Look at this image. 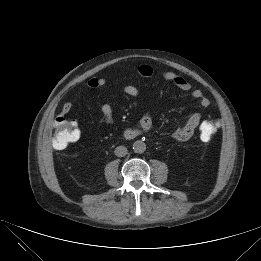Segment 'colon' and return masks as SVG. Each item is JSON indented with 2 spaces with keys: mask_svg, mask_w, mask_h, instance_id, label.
I'll list each match as a JSON object with an SVG mask.
<instances>
[{
  "mask_svg": "<svg viewBox=\"0 0 261 261\" xmlns=\"http://www.w3.org/2000/svg\"><path fill=\"white\" fill-rule=\"evenodd\" d=\"M217 127L218 124L214 120L202 122L200 126L201 139L204 141L211 140L217 131ZM53 131L52 143L56 149H64L69 144L77 142L80 138L77 125L63 116H58L55 119Z\"/></svg>",
  "mask_w": 261,
  "mask_h": 261,
  "instance_id": "colon-1",
  "label": "colon"
}]
</instances>
